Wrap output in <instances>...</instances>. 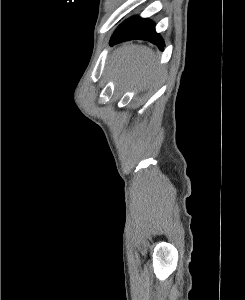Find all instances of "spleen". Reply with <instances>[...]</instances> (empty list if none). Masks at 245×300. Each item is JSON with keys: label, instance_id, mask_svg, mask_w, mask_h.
Here are the masks:
<instances>
[{"label": "spleen", "instance_id": "obj_1", "mask_svg": "<svg viewBox=\"0 0 245 300\" xmlns=\"http://www.w3.org/2000/svg\"><path fill=\"white\" fill-rule=\"evenodd\" d=\"M114 60L117 72L132 74L138 81L151 72L155 53L144 46H123L114 52Z\"/></svg>", "mask_w": 245, "mask_h": 300}]
</instances>
